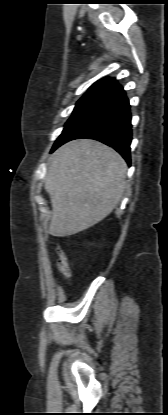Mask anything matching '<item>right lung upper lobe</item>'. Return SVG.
Returning a JSON list of instances; mask_svg holds the SVG:
<instances>
[{
  "instance_id": "right-lung-upper-lobe-1",
  "label": "right lung upper lobe",
  "mask_w": 168,
  "mask_h": 415,
  "mask_svg": "<svg viewBox=\"0 0 168 415\" xmlns=\"http://www.w3.org/2000/svg\"><path fill=\"white\" fill-rule=\"evenodd\" d=\"M116 83L114 78H103L95 82L86 93L100 95Z\"/></svg>"
}]
</instances>
